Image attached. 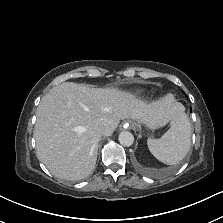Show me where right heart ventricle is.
<instances>
[{"mask_svg":"<svg viewBox=\"0 0 223 223\" xmlns=\"http://www.w3.org/2000/svg\"><path fill=\"white\" fill-rule=\"evenodd\" d=\"M135 93L138 94V95H141V94L144 93V91L143 90H136Z\"/></svg>","mask_w":223,"mask_h":223,"instance_id":"obj_1","label":"right heart ventricle"}]
</instances>
